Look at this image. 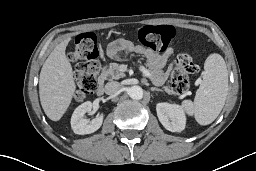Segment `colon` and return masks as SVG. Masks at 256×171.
<instances>
[{
    "instance_id": "obj_1",
    "label": "colon",
    "mask_w": 256,
    "mask_h": 171,
    "mask_svg": "<svg viewBox=\"0 0 256 171\" xmlns=\"http://www.w3.org/2000/svg\"><path fill=\"white\" fill-rule=\"evenodd\" d=\"M174 37V28L170 25H144L138 31L140 43L153 52L165 51ZM98 43L95 34L86 32L80 34L71 53L72 61L76 62V88L74 98L78 102L84 101L97 87L100 64ZM198 66L189 53L176 56L171 65V82L178 93H185L190 89V74L196 73Z\"/></svg>"
}]
</instances>
